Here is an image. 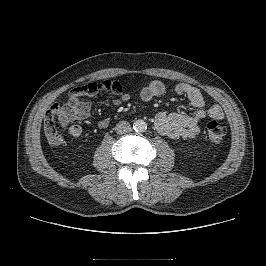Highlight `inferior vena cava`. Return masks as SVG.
<instances>
[{
  "label": "inferior vena cava",
  "instance_id": "1",
  "mask_svg": "<svg viewBox=\"0 0 266 266\" xmlns=\"http://www.w3.org/2000/svg\"><path fill=\"white\" fill-rule=\"evenodd\" d=\"M115 130L117 134L123 135L131 131V125L127 121H120L117 123Z\"/></svg>",
  "mask_w": 266,
  "mask_h": 266
}]
</instances>
